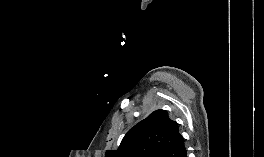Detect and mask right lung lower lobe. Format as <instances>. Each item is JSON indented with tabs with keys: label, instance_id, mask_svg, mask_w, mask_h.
Instances as JSON below:
<instances>
[{
	"label": "right lung lower lobe",
	"instance_id": "right-lung-lower-lobe-1",
	"mask_svg": "<svg viewBox=\"0 0 264 157\" xmlns=\"http://www.w3.org/2000/svg\"><path fill=\"white\" fill-rule=\"evenodd\" d=\"M181 157H187V153H186V151L182 154Z\"/></svg>",
	"mask_w": 264,
	"mask_h": 157
}]
</instances>
